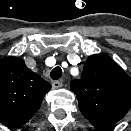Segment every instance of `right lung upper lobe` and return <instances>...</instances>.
Masks as SVG:
<instances>
[{
    "mask_svg": "<svg viewBox=\"0 0 131 131\" xmlns=\"http://www.w3.org/2000/svg\"><path fill=\"white\" fill-rule=\"evenodd\" d=\"M50 89V83L27 68L23 60H0V122L10 127L24 125Z\"/></svg>",
    "mask_w": 131,
    "mask_h": 131,
    "instance_id": "right-lung-upper-lobe-1",
    "label": "right lung upper lobe"
}]
</instances>
